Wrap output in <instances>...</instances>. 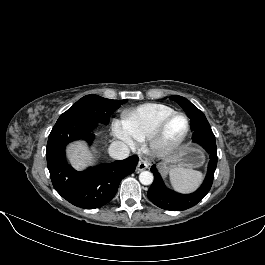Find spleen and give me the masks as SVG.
<instances>
[{
    "label": "spleen",
    "mask_w": 265,
    "mask_h": 265,
    "mask_svg": "<svg viewBox=\"0 0 265 265\" xmlns=\"http://www.w3.org/2000/svg\"><path fill=\"white\" fill-rule=\"evenodd\" d=\"M169 176L172 185L181 191H190L194 189L203 178L201 172L184 167L172 168L169 172Z\"/></svg>",
    "instance_id": "1"
}]
</instances>
